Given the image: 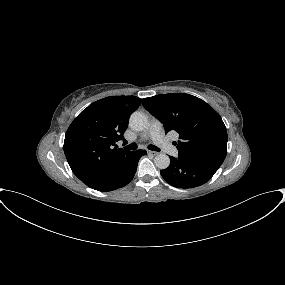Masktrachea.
Returning <instances> with one entry per match:
<instances>
[{
	"label": "trachea",
	"instance_id": "trachea-1",
	"mask_svg": "<svg viewBox=\"0 0 285 285\" xmlns=\"http://www.w3.org/2000/svg\"><path fill=\"white\" fill-rule=\"evenodd\" d=\"M124 148L129 149V150H136L137 149V144L132 143V144H129V145L125 146ZM148 149L152 150V151H160V149L158 147H156L155 145H152V144H150L148 146Z\"/></svg>",
	"mask_w": 285,
	"mask_h": 285
}]
</instances>
